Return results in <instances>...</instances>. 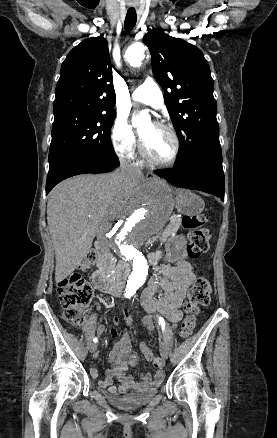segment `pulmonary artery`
<instances>
[{"label": "pulmonary artery", "mask_w": 277, "mask_h": 438, "mask_svg": "<svg viewBox=\"0 0 277 438\" xmlns=\"http://www.w3.org/2000/svg\"><path fill=\"white\" fill-rule=\"evenodd\" d=\"M159 86L155 76H148L146 81L142 83V87H138L133 91V101L152 106L156 109L162 108L164 94Z\"/></svg>", "instance_id": "obj_1"}]
</instances>
